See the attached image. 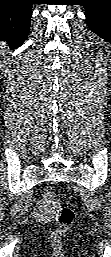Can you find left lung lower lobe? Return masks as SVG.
Instances as JSON below:
<instances>
[{
  "instance_id": "obj_1",
  "label": "left lung lower lobe",
  "mask_w": 111,
  "mask_h": 257,
  "mask_svg": "<svg viewBox=\"0 0 111 257\" xmlns=\"http://www.w3.org/2000/svg\"><path fill=\"white\" fill-rule=\"evenodd\" d=\"M85 14L91 31L111 41V0H89L85 5Z\"/></svg>"
}]
</instances>
